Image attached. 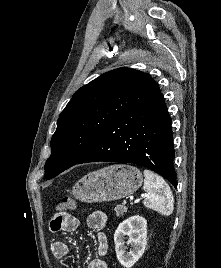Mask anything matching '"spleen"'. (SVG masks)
Returning <instances> with one entry per match:
<instances>
[{
    "mask_svg": "<svg viewBox=\"0 0 221 268\" xmlns=\"http://www.w3.org/2000/svg\"><path fill=\"white\" fill-rule=\"evenodd\" d=\"M144 190L146 192L143 204L158 213L169 216L174 209V198L169 185L159 175L144 170Z\"/></svg>",
    "mask_w": 221,
    "mask_h": 268,
    "instance_id": "1",
    "label": "spleen"
}]
</instances>
